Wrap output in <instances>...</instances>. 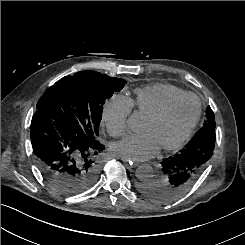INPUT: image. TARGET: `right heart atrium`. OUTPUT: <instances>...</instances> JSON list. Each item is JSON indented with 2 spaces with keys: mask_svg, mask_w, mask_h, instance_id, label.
<instances>
[{
  "mask_svg": "<svg viewBox=\"0 0 245 245\" xmlns=\"http://www.w3.org/2000/svg\"><path fill=\"white\" fill-rule=\"evenodd\" d=\"M132 108V100L120 94L112 95L104 103L101 117L108 132L112 136L118 137L127 131V122Z\"/></svg>",
  "mask_w": 245,
  "mask_h": 245,
  "instance_id": "right-heart-atrium-1",
  "label": "right heart atrium"
}]
</instances>
